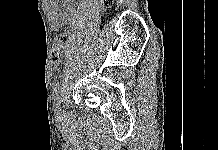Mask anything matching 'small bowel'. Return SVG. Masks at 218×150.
I'll list each match as a JSON object with an SVG mask.
<instances>
[{
    "instance_id": "c3829d8e",
    "label": "small bowel",
    "mask_w": 218,
    "mask_h": 150,
    "mask_svg": "<svg viewBox=\"0 0 218 150\" xmlns=\"http://www.w3.org/2000/svg\"><path fill=\"white\" fill-rule=\"evenodd\" d=\"M53 29H59L68 24L74 13L73 0H49Z\"/></svg>"
}]
</instances>
